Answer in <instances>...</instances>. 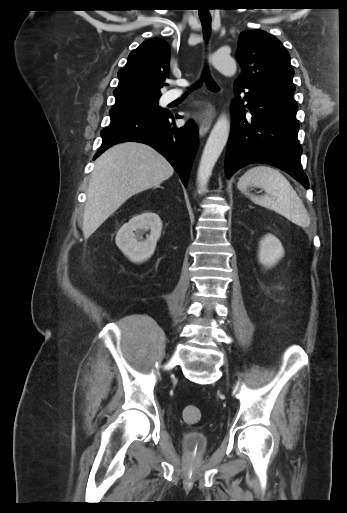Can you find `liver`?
I'll return each mask as SVG.
<instances>
[{"mask_svg": "<svg viewBox=\"0 0 347 513\" xmlns=\"http://www.w3.org/2000/svg\"><path fill=\"white\" fill-rule=\"evenodd\" d=\"M169 162L151 146L123 142L95 162L87 190L83 235L88 238L127 199L158 187L173 175Z\"/></svg>", "mask_w": 347, "mask_h": 513, "instance_id": "6515ba94", "label": "liver"}]
</instances>
